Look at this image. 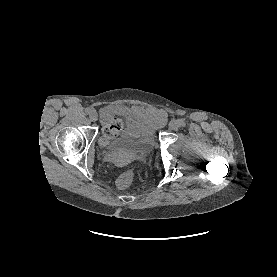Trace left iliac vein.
<instances>
[{"label": "left iliac vein", "instance_id": "1", "mask_svg": "<svg viewBox=\"0 0 277 277\" xmlns=\"http://www.w3.org/2000/svg\"><path fill=\"white\" fill-rule=\"evenodd\" d=\"M179 127H180V123H179L178 120L173 119V120L170 121V123H169V128H170L171 130H178Z\"/></svg>", "mask_w": 277, "mask_h": 277}]
</instances>
